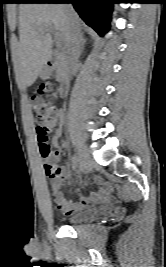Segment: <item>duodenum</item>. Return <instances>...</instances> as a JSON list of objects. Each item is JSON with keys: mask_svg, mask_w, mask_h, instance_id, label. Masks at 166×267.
<instances>
[{"mask_svg": "<svg viewBox=\"0 0 166 267\" xmlns=\"http://www.w3.org/2000/svg\"><path fill=\"white\" fill-rule=\"evenodd\" d=\"M45 71L58 75L61 80L60 95L66 97L70 89V78L65 68L52 57H48L45 61Z\"/></svg>", "mask_w": 166, "mask_h": 267, "instance_id": "1", "label": "duodenum"}]
</instances>
